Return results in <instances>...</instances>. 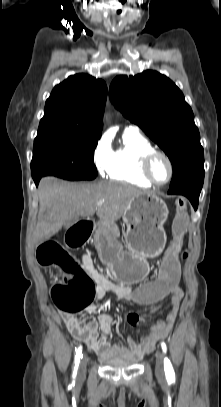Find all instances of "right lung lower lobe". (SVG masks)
<instances>
[{"instance_id":"98d812e1","label":"right lung lower lobe","mask_w":221,"mask_h":407,"mask_svg":"<svg viewBox=\"0 0 221 407\" xmlns=\"http://www.w3.org/2000/svg\"><path fill=\"white\" fill-rule=\"evenodd\" d=\"M40 178L41 177H33L36 186L38 185Z\"/></svg>"}]
</instances>
